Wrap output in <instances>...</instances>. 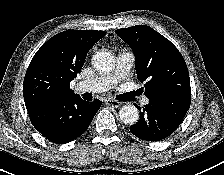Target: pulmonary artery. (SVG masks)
I'll use <instances>...</instances> for the list:
<instances>
[{"mask_svg": "<svg viewBox=\"0 0 224 175\" xmlns=\"http://www.w3.org/2000/svg\"><path fill=\"white\" fill-rule=\"evenodd\" d=\"M134 54L130 51H121L117 55V63L115 70L108 75L95 77L84 80L77 84L76 90L79 92L99 93L109 90L121 78L125 77L134 64ZM149 100H143V104H148Z\"/></svg>", "mask_w": 224, "mask_h": 175, "instance_id": "e3ab8cb5", "label": "pulmonary artery"}]
</instances>
